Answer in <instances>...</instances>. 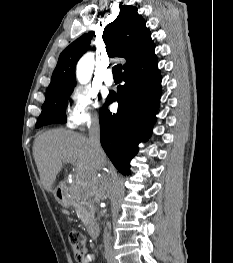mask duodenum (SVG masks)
<instances>
[{"mask_svg": "<svg viewBox=\"0 0 233 263\" xmlns=\"http://www.w3.org/2000/svg\"><path fill=\"white\" fill-rule=\"evenodd\" d=\"M60 194H59V199L61 201H64V198H65V195L63 194L64 191H65V188L63 186H60ZM89 235L90 237L95 240L98 238V228L96 225L92 224L90 227H89Z\"/></svg>", "mask_w": 233, "mask_h": 263, "instance_id": "obj_1", "label": "duodenum"}]
</instances>
